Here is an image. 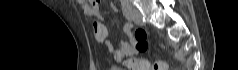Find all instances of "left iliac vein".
Masks as SVG:
<instances>
[{"label":"left iliac vein","mask_w":238,"mask_h":70,"mask_svg":"<svg viewBox=\"0 0 238 70\" xmlns=\"http://www.w3.org/2000/svg\"><path fill=\"white\" fill-rule=\"evenodd\" d=\"M131 16H132L133 21L136 24H138V25L143 24V22H142V14L140 13V11L138 9L132 8L131 9Z\"/></svg>","instance_id":"obj_1"}]
</instances>
